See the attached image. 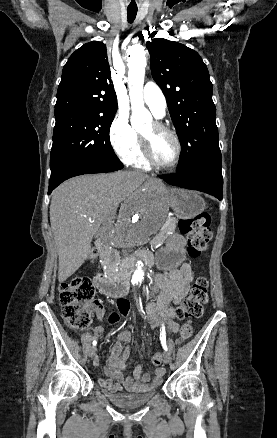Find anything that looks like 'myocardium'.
I'll list each match as a JSON object with an SVG mask.
<instances>
[{
  "mask_svg": "<svg viewBox=\"0 0 277 438\" xmlns=\"http://www.w3.org/2000/svg\"><path fill=\"white\" fill-rule=\"evenodd\" d=\"M153 127L156 131L165 133L169 135L175 142L176 145V155L174 160L169 164L161 163L155 156L154 149H153V141L150 136L140 134V142L143 150V154L146 158V160L153 166L160 168V169H171L174 168L180 161L181 154H182V144L181 140L178 136V134L167 127L165 124L159 122V121H153L152 122Z\"/></svg>",
  "mask_w": 277,
  "mask_h": 438,
  "instance_id": "f54148a6",
  "label": "myocardium"
}]
</instances>
